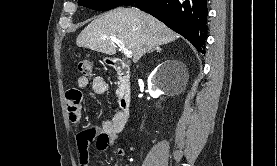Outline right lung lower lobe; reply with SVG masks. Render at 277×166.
<instances>
[{
	"mask_svg": "<svg viewBox=\"0 0 277 166\" xmlns=\"http://www.w3.org/2000/svg\"><path fill=\"white\" fill-rule=\"evenodd\" d=\"M207 0H126L189 40L204 54L207 37Z\"/></svg>",
	"mask_w": 277,
	"mask_h": 166,
	"instance_id": "1",
	"label": "right lung lower lobe"
}]
</instances>
